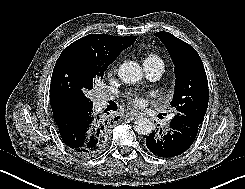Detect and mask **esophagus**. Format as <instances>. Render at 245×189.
I'll return each mask as SVG.
<instances>
[{
  "mask_svg": "<svg viewBox=\"0 0 245 189\" xmlns=\"http://www.w3.org/2000/svg\"><path fill=\"white\" fill-rule=\"evenodd\" d=\"M139 113L137 111H132L127 113V117L130 119H136L138 117Z\"/></svg>",
  "mask_w": 245,
  "mask_h": 189,
  "instance_id": "34e87169",
  "label": "esophagus"
}]
</instances>
